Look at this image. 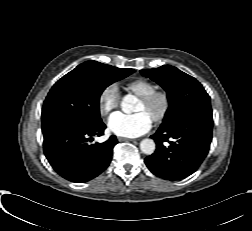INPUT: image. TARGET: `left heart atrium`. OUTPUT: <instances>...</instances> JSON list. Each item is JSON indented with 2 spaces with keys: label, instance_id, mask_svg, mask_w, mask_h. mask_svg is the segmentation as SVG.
Instances as JSON below:
<instances>
[{
  "label": "left heart atrium",
  "instance_id": "obj_1",
  "mask_svg": "<svg viewBox=\"0 0 252 231\" xmlns=\"http://www.w3.org/2000/svg\"><path fill=\"white\" fill-rule=\"evenodd\" d=\"M108 127L117 136L135 138L151 129L152 119L144 112L135 114L116 113L110 117Z\"/></svg>",
  "mask_w": 252,
  "mask_h": 231
}]
</instances>
